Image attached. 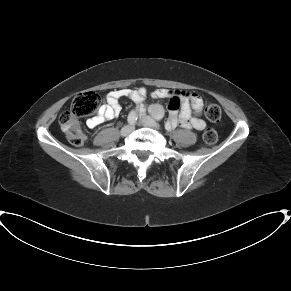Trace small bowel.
<instances>
[{
    "mask_svg": "<svg viewBox=\"0 0 291 291\" xmlns=\"http://www.w3.org/2000/svg\"><path fill=\"white\" fill-rule=\"evenodd\" d=\"M151 96L154 99H167L169 101L167 130H173L177 126L198 131L205 129V121L198 117L203 106V100L199 94L160 88L153 91ZM145 97L146 90L144 88L110 91L97 114L86 120V126L89 129H94L118 116L120 113L119 100L121 98H130L135 103L137 112L142 113L145 109Z\"/></svg>",
    "mask_w": 291,
    "mask_h": 291,
    "instance_id": "1",
    "label": "small bowel"
}]
</instances>
